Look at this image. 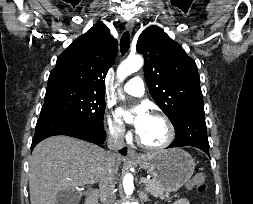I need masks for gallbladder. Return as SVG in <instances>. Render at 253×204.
Returning a JSON list of instances; mask_svg holds the SVG:
<instances>
[{
    "instance_id": "gallbladder-1",
    "label": "gallbladder",
    "mask_w": 253,
    "mask_h": 204,
    "mask_svg": "<svg viewBox=\"0 0 253 204\" xmlns=\"http://www.w3.org/2000/svg\"><path fill=\"white\" fill-rule=\"evenodd\" d=\"M78 202V193L76 191H61L56 196V204H78Z\"/></svg>"
}]
</instances>
